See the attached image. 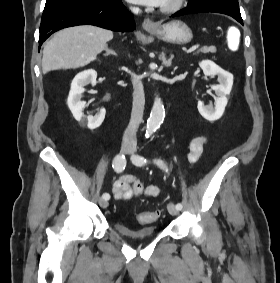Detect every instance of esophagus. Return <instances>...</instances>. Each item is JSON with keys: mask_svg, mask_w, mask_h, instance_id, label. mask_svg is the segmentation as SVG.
<instances>
[{"mask_svg": "<svg viewBox=\"0 0 280 283\" xmlns=\"http://www.w3.org/2000/svg\"><path fill=\"white\" fill-rule=\"evenodd\" d=\"M142 26L145 30L152 31L158 28V25L155 24L151 19H144Z\"/></svg>", "mask_w": 280, "mask_h": 283, "instance_id": "esophagus-1", "label": "esophagus"}]
</instances>
